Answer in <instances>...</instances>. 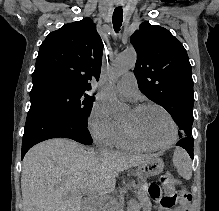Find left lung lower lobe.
Listing matches in <instances>:
<instances>
[{
    "label": "left lung lower lobe",
    "mask_w": 219,
    "mask_h": 211,
    "mask_svg": "<svg viewBox=\"0 0 219 211\" xmlns=\"http://www.w3.org/2000/svg\"><path fill=\"white\" fill-rule=\"evenodd\" d=\"M193 143L194 141L192 137H184L181 138V140H179L176 145L183 147L193 159Z\"/></svg>",
    "instance_id": "left-lung-lower-lobe-1"
}]
</instances>
